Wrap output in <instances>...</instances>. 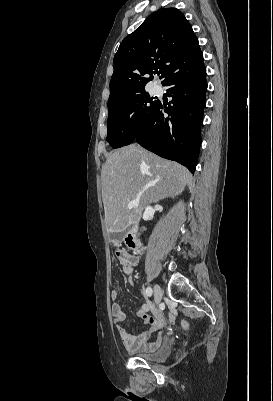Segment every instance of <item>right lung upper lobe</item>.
<instances>
[{"label": "right lung upper lobe", "instance_id": "right-lung-upper-lobe-1", "mask_svg": "<svg viewBox=\"0 0 273 401\" xmlns=\"http://www.w3.org/2000/svg\"><path fill=\"white\" fill-rule=\"evenodd\" d=\"M202 59L198 39L185 16L176 8L159 9L120 44L114 56L108 107L145 91L157 68L164 84L178 67Z\"/></svg>", "mask_w": 273, "mask_h": 401}]
</instances>
